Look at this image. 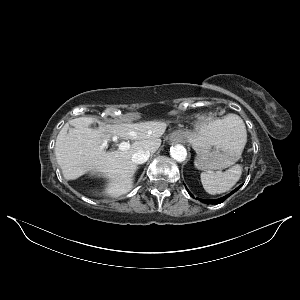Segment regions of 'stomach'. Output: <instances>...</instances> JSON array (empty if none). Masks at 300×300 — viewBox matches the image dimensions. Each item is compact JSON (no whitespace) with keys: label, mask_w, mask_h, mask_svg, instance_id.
Masks as SVG:
<instances>
[{"label":"stomach","mask_w":300,"mask_h":300,"mask_svg":"<svg viewBox=\"0 0 300 300\" xmlns=\"http://www.w3.org/2000/svg\"><path fill=\"white\" fill-rule=\"evenodd\" d=\"M175 135L188 141L197 156L195 166L212 171L235 164L244 149L243 135L234 122L226 118L198 126L194 131H177Z\"/></svg>","instance_id":"0dacf381"}]
</instances>
